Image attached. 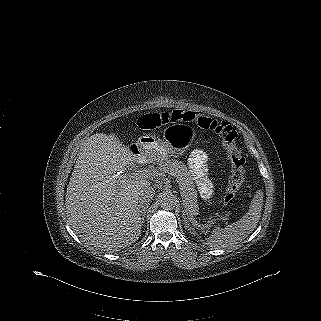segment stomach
<instances>
[{"label": "stomach", "instance_id": "1", "mask_svg": "<svg viewBox=\"0 0 321 321\" xmlns=\"http://www.w3.org/2000/svg\"><path fill=\"white\" fill-rule=\"evenodd\" d=\"M194 140L193 131L186 124H172L163 131V139L141 136L137 148L157 158H168L183 154Z\"/></svg>", "mask_w": 321, "mask_h": 321}]
</instances>
